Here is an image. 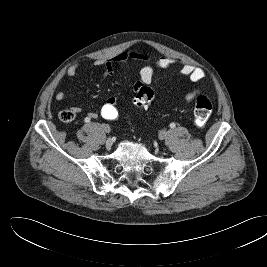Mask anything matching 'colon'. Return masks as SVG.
<instances>
[{
	"instance_id": "colon-1",
	"label": "colon",
	"mask_w": 267,
	"mask_h": 267,
	"mask_svg": "<svg viewBox=\"0 0 267 267\" xmlns=\"http://www.w3.org/2000/svg\"><path fill=\"white\" fill-rule=\"evenodd\" d=\"M154 101L153 90L142 85L136 90L134 102L138 106L149 107ZM212 112V103L206 96H198L194 106L195 124L199 128H203ZM98 115L109 122L117 121L120 116V108L118 102L110 98L106 99L98 110ZM75 115L72 110H63L59 114L61 121L68 123L73 121Z\"/></svg>"
}]
</instances>
